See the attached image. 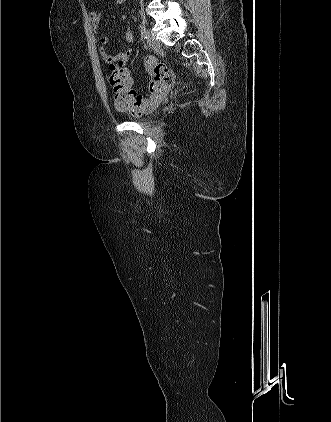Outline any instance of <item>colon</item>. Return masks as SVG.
<instances>
[{"label": "colon", "instance_id": "colon-1", "mask_svg": "<svg viewBox=\"0 0 331 422\" xmlns=\"http://www.w3.org/2000/svg\"><path fill=\"white\" fill-rule=\"evenodd\" d=\"M145 67L151 76L150 98H144L132 89L128 70L122 63L110 64L109 83L118 111L138 116L153 110L164 99L172 76L170 67L152 56L146 58Z\"/></svg>", "mask_w": 331, "mask_h": 422}]
</instances>
